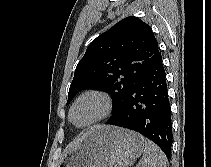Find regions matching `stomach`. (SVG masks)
I'll return each mask as SVG.
<instances>
[{
  "instance_id": "1",
  "label": "stomach",
  "mask_w": 211,
  "mask_h": 167,
  "mask_svg": "<svg viewBox=\"0 0 211 167\" xmlns=\"http://www.w3.org/2000/svg\"><path fill=\"white\" fill-rule=\"evenodd\" d=\"M144 138L115 126H96L66 152L57 167H130L144 151Z\"/></svg>"
}]
</instances>
